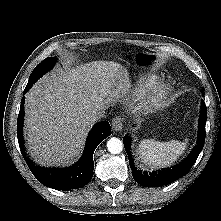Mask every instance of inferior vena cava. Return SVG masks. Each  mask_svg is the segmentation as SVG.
<instances>
[{"label":"inferior vena cava","mask_w":221,"mask_h":221,"mask_svg":"<svg viewBox=\"0 0 221 221\" xmlns=\"http://www.w3.org/2000/svg\"><path fill=\"white\" fill-rule=\"evenodd\" d=\"M105 116L104 110H95L89 117V122L91 124L97 122L98 120L102 119Z\"/></svg>","instance_id":"1"}]
</instances>
